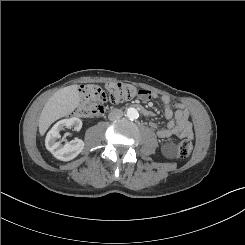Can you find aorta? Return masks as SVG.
Wrapping results in <instances>:
<instances>
[{"label":"aorta","instance_id":"762f6f07","mask_svg":"<svg viewBox=\"0 0 245 245\" xmlns=\"http://www.w3.org/2000/svg\"><path fill=\"white\" fill-rule=\"evenodd\" d=\"M126 116L130 120H135L139 117L138 110L136 108L130 107L126 111Z\"/></svg>","mask_w":245,"mask_h":245}]
</instances>
